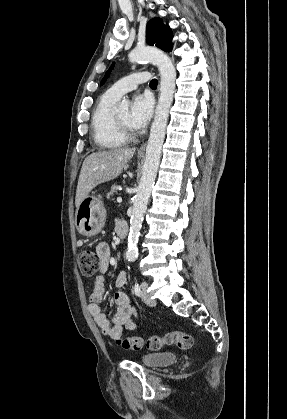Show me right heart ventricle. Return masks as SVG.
Segmentation results:
<instances>
[{
    "mask_svg": "<svg viewBox=\"0 0 287 419\" xmlns=\"http://www.w3.org/2000/svg\"><path fill=\"white\" fill-rule=\"evenodd\" d=\"M118 99L104 93L98 100L91 117L92 136L102 149H115L125 143L113 123V107Z\"/></svg>",
    "mask_w": 287,
    "mask_h": 419,
    "instance_id": "1",
    "label": "right heart ventricle"
}]
</instances>
